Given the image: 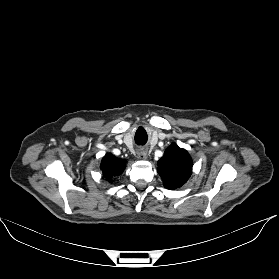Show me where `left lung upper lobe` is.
<instances>
[{
    "mask_svg": "<svg viewBox=\"0 0 279 279\" xmlns=\"http://www.w3.org/2000/svg\"><path fill=\"white\" fill-rule=\"evenodd\" d=\"M158 164V173L167 189L181 187L189 179L193 165L188 152L174 143L166 149Z\"/></svg>",
    "mask_w": 279,
    "mask_h": 279,
    "instance_id": "1",
    "label": "left lung upper lobe"
}]
</instances>
